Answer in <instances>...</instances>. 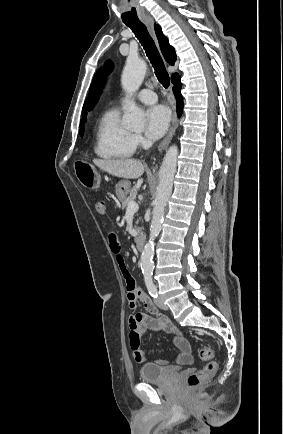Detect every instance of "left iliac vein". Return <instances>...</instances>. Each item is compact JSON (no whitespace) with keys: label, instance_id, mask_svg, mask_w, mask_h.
<instances>
[{"label":"left iliac vein","instance_id":"obj_1","mask_svg":"<svg viewBox=\"0 0 283 434\" xmlns=\"http://www.w3.org/2000/svg\"><path fill=\"white\" fill-rule=\"evenodd\" d=\"M155 304H156L160 309H163V310H167V309H168V306L164 303V301H163L160 297H157V298L155 299Z\"/></svg>","mask_w":283,"mask_h":434}]
</instances>
